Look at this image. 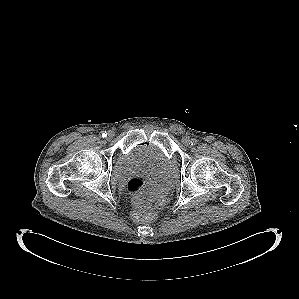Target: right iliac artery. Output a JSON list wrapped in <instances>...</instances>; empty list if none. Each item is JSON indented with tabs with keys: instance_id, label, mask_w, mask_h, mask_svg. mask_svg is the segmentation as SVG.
I'll use <instances>...</instances> for the list:
<instances>
[{
	"instance_id": "82829eb1",
	"label": "right iliac artery",
	"mask_w": 299,
	"mask_h": 299,
	"mask_svg": "<svg viewBox=\"0 0 299 299\" xmlns=\"http://www.w3.org/2000/svg\"><path fill=\"white\" fill-rule=\"evenodd\" d=\"M107 136V134L105 133V132H103L102 134H101V137L102 138H105Z\"/></svg>"
}]
</instances>
